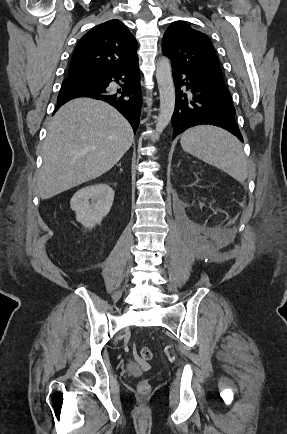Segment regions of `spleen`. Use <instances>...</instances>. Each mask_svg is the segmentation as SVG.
<instances>
[{"label": "spleen", "mask_w": 287, "mask_h": 434, "mask_svg": "<svg viewBox=\"0 0 287 434\" xmlns=\"http://www.w3.org/2000/svg\"><path fill=\"white\" fill-rule=\"evenodd\" d=\"M180 144L185 152L224 171L243 183L248 176V163L242 143L228 131L202 125L186 130Z\"/></svg>", "instance_id": "3e777b00"}]
</instances>
